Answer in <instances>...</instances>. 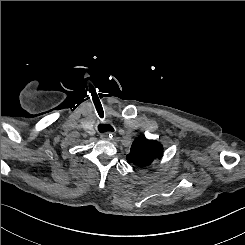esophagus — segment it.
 <instances>
[{"label":"esophagus","instance_id":"obj_1","mask_svg":"<svg viewBox=\"0 0 245 245\" xmlns=\"http://www.w3.org/2000/svg\"><path fill=\"white\" fill-rule=\"evenodd\" d=\"M112 134H110V133H103V134H101V138L103 139V140H108V138L111 136Z\"/></svg>","mask_w":245,"mask_h":245}]
</instances>
